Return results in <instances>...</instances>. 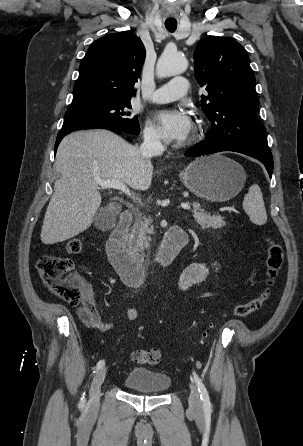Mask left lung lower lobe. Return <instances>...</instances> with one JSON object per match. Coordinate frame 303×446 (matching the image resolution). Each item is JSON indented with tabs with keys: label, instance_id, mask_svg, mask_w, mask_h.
I'll list each match as a JSON object with an SVG mask.
<instances>
[{
	"label": "left lung lower lobe",
	"instance_id": "0a47b994",
	"mask_svg": "<svg viewBox=\"0 0 303 446\" xmlns=\"http://www.w3.org/2000/svg\"><path fill=\"white\" fill-rule=\"evenodd\" d=\"M221 151H235L260 160L266 167L269 176L273 171V159L269 149L253 147L237 143L214 144L203 142L194 148H190L185 156L197 157L201 155L212 154Z\"/></svg>",
	"mask_w": 303,
	"mask_h": 446
}]
</instances>
